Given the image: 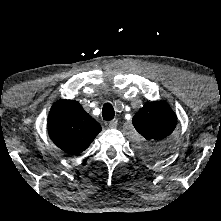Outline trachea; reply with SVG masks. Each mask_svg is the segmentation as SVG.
Returning <instances> with one entry per match:
<instances>
[{
    "mask_svg": "<svg viewBox=\"0 0 221 221\" xmlns=\"http://www.w3.org/2000/svg\"><path fill=\"white\" fill-rule=\"evenodd\" d=\"M102 116H103V119L106 121H110L114 118L115 111H114L113 106L110 103H105L103 105Z\"/></svg>",
    "mask_w": 221,
    "mask_h": 221,
    "instance_id": "1",
    "label": "trachea"
}]
</instances>
